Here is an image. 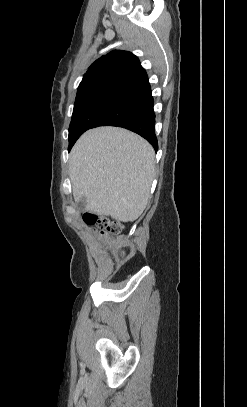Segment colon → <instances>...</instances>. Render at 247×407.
Returning a JSON list of instances; mask_svg holds the SVG:
<instances>
[{
	"mask_svg": "<svg viewBox=\"0 0 247 407\" xmlns=\"http://www.w3.org/2000/svg\"><path fill=\"white\" fill-rule=\"evenodd\" d=\"M85 222L96 227L104 236L117 235L122 231V225L116 220L96 215H87Z\"/></svg>",
	"mask_w": 247,
	"mask_h": 407,
	"instance_id": "1",
	"label": "colon"
}]
</instances>
